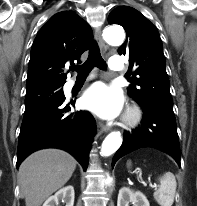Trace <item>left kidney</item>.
<instances>
[{
  "mask_svg": "<svg viewBox=\"0 0 197 206\" xmlns=\"http://www.w3.org/2000/svg\"><path fill=\"white\" fill-rule=\"evenodd\" d=\"M134 206H150L146 196L140 191H132L128 187H122L119 190L117 206H129V203Z\"/></svg>",
  "mask_w": 197,
  "mask_h": 206,
  "instance_id": "left-kidney-1",
  "label": "left kidney"
}]
</instances>
